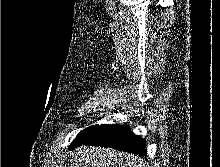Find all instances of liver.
Listing matches in <instances>:
<instances>
[{
  "instance_id": "1",
  "label": "liver",
  "mask_w": 220,
  "mask_h": 167,
  "mask_svg": "<svg viewBox=\"0 0 220 167\" xmlns=\"http://www.w3.org/2000/svg\"><path fill=\"white\" fill-rule=\"evenodd\" d=\"M70 167H145L143 160L118 150L81 146L72 154Z\"/></svg>"
}]
</instances>
